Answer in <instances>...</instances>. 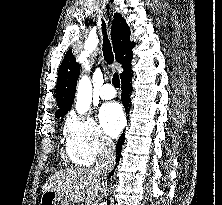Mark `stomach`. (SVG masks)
<instances>
[{"label":"stomach","instance_id":"0dacf381","mask_svg":"<svg viewBox=\"0 0 222 205\" xmlns=\"http://www.w3.org/2000/svg\"><path fill=\"white\" fill-rule=\"evenodd\" d=\"M41 205H67V202L57 193L46 191L41 196Z\"/></svg>","mask_w":222,"mask_h":205}]
</instances>
